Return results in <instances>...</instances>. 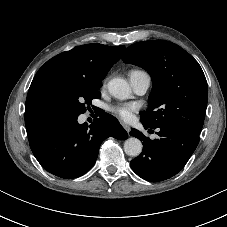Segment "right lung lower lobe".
I'll return each mask as SVG.
<instances>
[{
	"instance_id": "1",
	"label": "right lung lower lobe",
	"mask_w": 227,
	"mask_h": 227,
	"mask_svg": "<svg viewBox=\"0 0 227 227\" xmlns=\"http://www.w3.org/2000/svg\"><path fill=\"white\" fill-rule=\"evenodd\" d=\"M98 116L90 125L79 124L78 117L59 120L29 140L41 166L58 177L77 178L93 167L106 138L128 137L116 118L104 111Z\"/></svg>"
}]
</instances>
